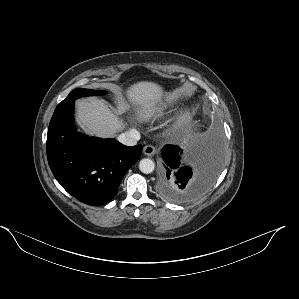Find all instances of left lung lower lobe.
<instances>
[{"label": "left lung lower lobe", "mask_w": 299, "mask_h": 299, "mask_svg": "<svg viewBox=\"0 0 299 299\" xmlns=\"http://www.w3.org/2000/svg\"><path fill=\"white\" fill-rule=\"evenodd\" d=\"M157 186L159 194L171 202H185L204 193L217 178L222 164V144L207 137L188 145H165Z\"/></svg>", "instance_id": "0a47b994"}]
</instances>
